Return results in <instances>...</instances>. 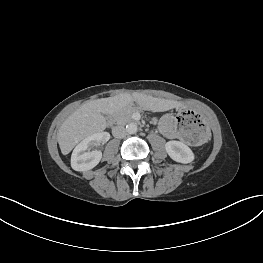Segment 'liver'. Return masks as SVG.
Returning <instances> with one entry per match:
<instances>
[{
    "mask_svg": "<svg viewBox=\"0 0 263 263\" xmlns=\"http://www.w3.org/2000/svg\"><path fill=\"white\" fill-rule=\"evenodd\" d=\"M134 101L156 112L182 106V103L178 101L154 98L140 93H122L109 98L88 101L73 112L58 131L57 139L62 154H69L78 142L105 130L107 122L104 115H116L129 109Z\"/></svg>",
    "mask_w": 263,
    "mask_h": 263,
    "instance_id": "1",
    "label": "liver"
}]
</instances>
